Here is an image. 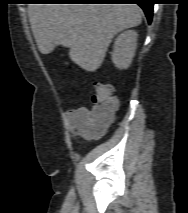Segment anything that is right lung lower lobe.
Returning a JSON list of instances; mask_svg holds the SVG:
<instances>
[{
    "label": "right lung lower lobe",
    "instance_id": "1",
    "mask_svg": "<svg viewBox=\"0 0 188 213\" xmlns=\"http://www.w3.org/2000/svg\"><path fill=\"white\" fill-rule=\"evenodd\" d=\"M73 3H135L145 12L148 22L152 21L154 0H70Z\"/></svg>",
    "mask_w": 188,
    "mask_h": 213
}]
</instances>
